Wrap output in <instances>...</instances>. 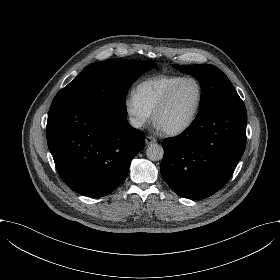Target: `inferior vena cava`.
I'll return each instance as SVG.
<instances>
[{
    "instance_id": "obj_1",
    "label": "inferior vena cava",
    "mask_w": 280,
    "mask_h": 280,
    "mask_svg": "<svg viewBox=\"0 0 280 280\" xmlns=\"http://www.w3.org/2000/svg\"><path fill=\"white\" fill-rule=\"evenodd\" d=\"M129 122L130 125L134 128H140L144 123V121L141 118H137V117H130Z\"/></svg>"
}]
</instances>
